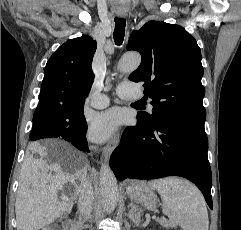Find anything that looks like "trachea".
<instances>
[{
	"label": "trachea",
	"instance_id": "1",
	"mask_svg": "<svg viewBox=\"0 0 241 230\" xmlns=\"http://www.w3.org/2000/svg\"><path fill=\"white\" fill-rule=\"evenodd\" d=\"M113 38L116 45H121L124 40L126 21L123 18H115Z\"/></svg>",
	"mask_w": 241,
	"mask_h": 230
}]
</instances>
